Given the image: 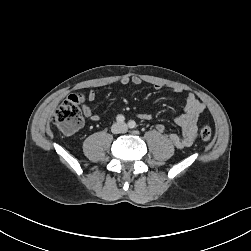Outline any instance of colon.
Returning <instances> with one entry per match:
<instances>
[{
    "instance_id": "colon-1",
    "label": "colon",
    "mask_w": 251,
    "mask_h": 251,
    "mask_svg": "<svg viewBox=\"0 0 251 251\" xmlns=\"http://www.w3.org/2000/svg\"><path fill=\"white\" fill-rule=\"evenodd\" d=\"M82 94L69 95L57 108L53 114V123L57 125L65 133H73L81 128L83 118L81 115L80 104L83 102ZM212 130L208 126H203L200 129V137L204 141L212 138Z\"/></svg>"
}]
</instances>
